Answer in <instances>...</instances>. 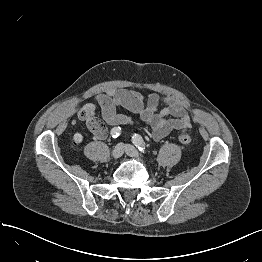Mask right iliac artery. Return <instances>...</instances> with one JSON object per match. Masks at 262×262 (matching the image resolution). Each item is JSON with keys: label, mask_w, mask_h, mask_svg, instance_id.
Segmentation results:
<instances>
[{"label": "right iliac artery", "mask_w": 262, "mask_h": 262, "mask_svg": "<svg viewBox=\"0 0 262 262\" xmlns=\"http://www.w3.org/2000/svg\"><path fill=\"white\" fill-rule=\"evenodd\" d=\"M121 133V128L120 127H114L111 130V135L113 138H117Z\"/></svg>", "instance_id": "82829eb1"}]
</instances>
